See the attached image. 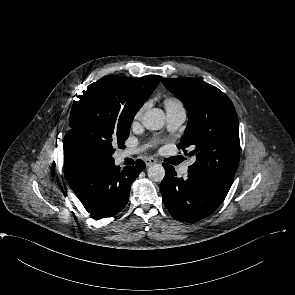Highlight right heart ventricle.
<instances>
[{
    "instance_id": "e07e8e85",
    "label": "right heart ventricle",
    "mask_w": 295,
    "mask_h": 295,
    "mask_svg": "<svg viewBox=\"0 0 295 295\" xmlns=\"http://www.w3.org/2000/svg\"><path fill=\"white\" fill-rule=\"evenodd\" d=\"M165 106H166L167 111L176 110V109H184L182 103L174 97L166 98L165 99Z\"/></svg>"
}]
</instances>
